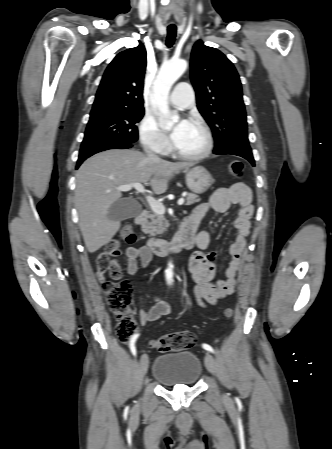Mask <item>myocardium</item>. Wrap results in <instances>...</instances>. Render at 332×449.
I'll return each instance as SVG.
<instances>
[{"instance_id": "f54148a6", "label": "myocardium", "mask_w": 332, "mask_h": 449, "mask_svg": "<svg viewBox=\"0 0 332 449\" xmlns=\"http://www.w3.org/2000/svg\"><path fill=\"white\" fill-rule=\"evenodd\" d=\"M191 123L197 125L202 130L204 137H205L204 148L197 153H185V152H182L179 149H177L175 144H173L172 149H173L174 154L183 160H189V161L202 160V159L208 157L213 150V147H214L213 134H212V131L209 128V126L200 118H192Z\"/></svg>"}]
</instances>
